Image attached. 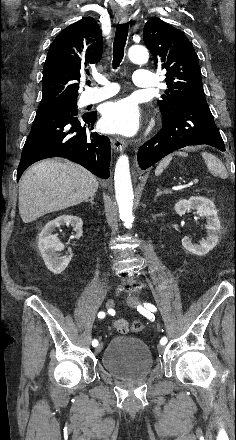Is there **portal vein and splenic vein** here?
Returning <instances> with one entry per match:
<instances>
[{
  "mask_svg": "<svg viewBox=\"0 0 236 440\" xmlns=\"http://www.w3.org/2000/svg\"><path fill=\"white\" fill-rule=\"evenodd\" d=\"M198 181H199L198 179H194L193 183L196 184V183H198Z\"/></svg>",
  "mask_w": 236,
  "mask_h": 440,
  "instance_id": "portal-vein-and-splenic-vein-1",
  "label": "portal vein and splenic vein"
}]
</instances>
